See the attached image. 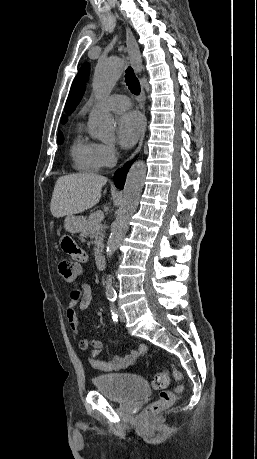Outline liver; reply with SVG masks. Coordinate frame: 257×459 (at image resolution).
I'll use <instances>...</instances> for the list:
<instances>
[{
	"label": "liver",
	"instance_id": "1",
	"mask_svg": "<svg viewBox=\"0 0 257 459\" xmlns=\"http://www.w3.org/2000/svg\"><path fill=\"white\" fill-rule=\"evenodd\" d=\"M106 182V177L93 173H77L58 178L50 203L52 215L60 218L92 208L99 202Z\"/></svg>",
	"mask_w": 257,
	"mask_h": 459
}]
</instances>
